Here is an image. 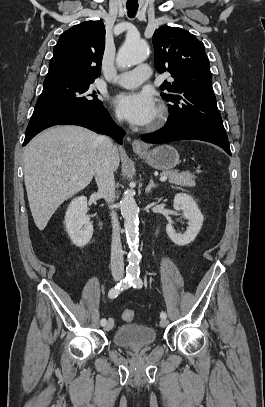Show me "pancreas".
I'll list each match as a JSON object with an SVG mask.
<instances>
[{"instance_id":"pancreas-1","label":"pancreas","mask_w":265,"mask_h":407,"mask_svg":"<svg viewBox=\"0 0 265 407\" xmlns=\"http://www.w3.org/2000/svg\"><path fill=\"white\" fill-rule=\"evenodd\" d=\"M162 175L169 177V183L181 187H194L196 176L189 172L178 173L177 171H164Z\"/></svg>"}]
</instances>
